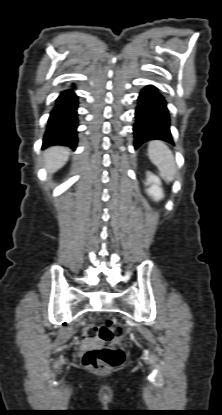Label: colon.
Segmentation results:
<instances>
[{"mask_svg":"<svg viewBox=\"0 0 222 415\" xmlns=\"http://www.w3.org/2000/svg\"><path fill=\"white\" fill-rule=\"evenodd\" d=\"M123 330L113 319H106L102 324H89L84 328L83 338L86 341L101 340L111 342L121 337ZM125 352L121 347H94L86 350L82 357L85 367L103 372L120 366L125 360Z\"/></svg>","mask_w":222,"mask_h":415,"instance_id":"1","label":"colon"}]
</instances>
